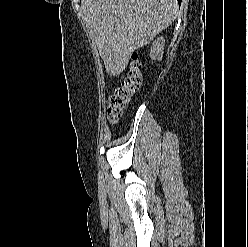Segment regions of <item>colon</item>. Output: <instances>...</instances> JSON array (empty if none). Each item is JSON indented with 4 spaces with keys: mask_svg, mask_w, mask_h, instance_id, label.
Instances as JSON below:
<instances>
[{
    "mask_svg": "<svg viewBox=\"0 0 248 247\" xmlns=\"http://www.w3.org/2000/svg\"><path fill=\"white\" fill-rule=\"evenodd\" d=\"M141 83V65L137 56L133 55L125 77L110 97L108 105L110 123L115 124L119 121L124 110L139 91Z\"/></svg>",
    "mask_w": 248,
    "mask_h": 247,
    "instance_id": "obj_1",
    "label": "colon"
}]
</instances>
